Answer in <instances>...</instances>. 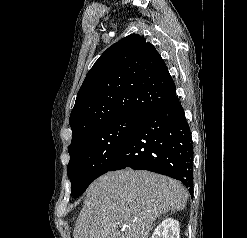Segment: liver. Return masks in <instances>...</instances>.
I'll use <instances>...</instances> for the list:
<instances>
[{
	"instance_id": "6515ba94",
	"label": "liver",
	"mask_w": 247,
	"mask_h": 238,
	"mask_svg": "<svg viewBox=\"0 0 247 238\" xmlns=\"http://www.w3.org/2000/svg\"><path fill=\"white\" fill-rule=\"evenodd\" d=\"M184 186L169 177L130 168L108 172L87 189L74 238H148L155 220L180 211Z\"/></svg>"
}]
</instances>
